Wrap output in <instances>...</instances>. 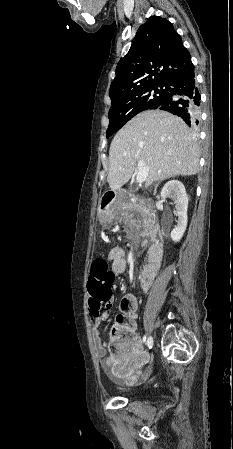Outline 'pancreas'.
Returning a JSON list of instances; mask_svg holds the SVG:
<instances>
[{
  "label": "pancreas",
  "mask_w": 233,
  "mask_h": 449,
  "mask_svg": "<svg viewBox=\"0 0 233 449\" xmlns=\"http://www.w3.org/2000/svg\"><path fill=\"white\" fill-rule=\"evenodd\" d=\"M133 211H136L145 219L147 216L148 205L145 201L138 199L137 197L132 198L129 202H127L125 205V219L127 222L130 219L132 220L131 213Z\"/></svg>",
  "instance_id": "cf45deb5"
}]
</instances>
